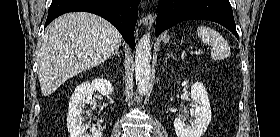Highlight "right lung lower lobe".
<instances>
[{
  "label": "right lung lower lobe",
  "instance_id": "right-lung-lower-lobe-1",
  "mask_svg": "<svg viewBox=\"0 0 280 137\" xmlns=\"http://www.w3.org/2000/svg\"><path fill=\"white\" fill-rule=\"evenodd\" d=\"M139 2L140 0H52L45 26L67 12L94 13L113 24L134 49V29L138 18Z\"/></svg>",
  "mask_w": 280,
  "mask_h": 137
}]
</instances>
